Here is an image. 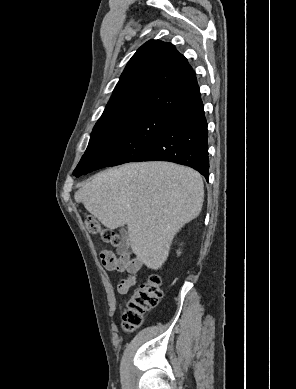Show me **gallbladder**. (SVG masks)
<instances>
[{
	"instance_id": "gallbladder-1",
	"label": "gallbladder",
	"mask_w": 296,
	"mask_h": 389,
	"mask_svg": "<svg viewBox=\"0 0 296 389\" xmlns=\"http://www.w3.org/2000/svg\"><path fill=\"white\" fill-rule=\"evenodd\" d=\"M120 237H121V243L116 250L118 254L124 253L127 247L128 233L124 228L120 230Z\"/></svg>"
}]
</instances>
